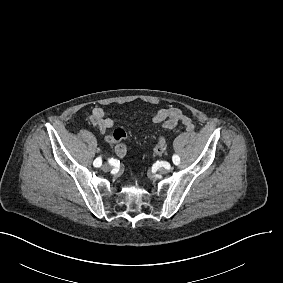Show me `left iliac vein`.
Here are the masks:
<instances>
[{
    "label": "left iliac vein",
    "mask_w": 283,
    "mask_h": 283,
    "mask_svg": "<svg viewBox=\"0 0 283 283\" xmlns=\"http://www.w3.org/2000/svg\"><path fill=\"white\" fill-rule=\"evenodd\" d=\"M159 171H160L161 173L165 174V173H167V172L169 171V169L164 168V167H161V168L159 169Z\"/></svg>",
    "instance_id": "left-iliac-vein-1"
}]
</instances>
